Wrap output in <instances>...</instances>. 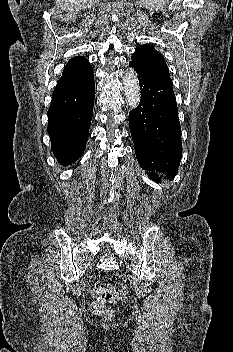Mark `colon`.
I'll use <instances>...</instances> for the list:
<instances>
[{
	"mask_svg": "<svg viewBox=\"0 0 233 352\" xmlns=\"http://www.w3.org/2000/svg\"><path fill=\"white\" fill-rule=\"evenodd\" d=\"M90 292L95 298V301L91 304V309L94 313L105 312L108 304L123 301L128 296L127 286L120 282L108 285L92 284Z\"/></svg>",
	"mask_w": 233,
	"mask_h": 352,
	"instance_id": "obj_1",
	"label": "colon"
}]
</instances>
